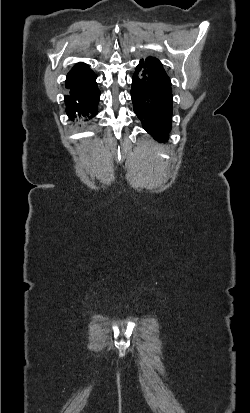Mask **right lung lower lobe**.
I'll list each match as a JSON object with an SVG mask.
<instances>
[{
  "instance_id": "1",
  "label": "right lung lower lobe",
  "mask_w": 250,
  "mask_h": 413,
  "mask_svg": "<svg viewBox=\"0 0 250 413\" xmlns=\"http://www.w3.org/2000/svg\"><path fill=\"white\" fill-rule=\"evenodd\" d=\"M69 89L65 96L66 113L71 120L78 122L93 119L98 113L100 91L96 84V75L88 77L76 83L66 82Z\"/></svg>"
}]
</instances>
